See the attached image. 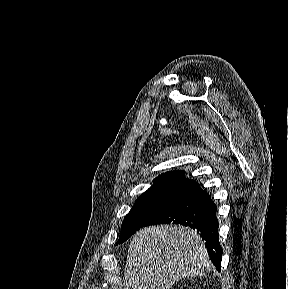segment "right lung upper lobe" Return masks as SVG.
<instances>
[{"label":"right lung upper lobe","instance_id":"right-lung-upper-lobe-1","mask_svg":"<svg viewBox=\"0 0 288 289\" xmlns=\"http://www.w3.org/2000/svg\"><path fill=\"white\" fill-rule=\"evenodd\" d=\"M184 171H170L161 174L154 180V184L149 189L157 188H172L181 190H190L195 185L196 181L184 178Z\"/></svg>","mask_w":288,"mask_h":289}]
</instances>
